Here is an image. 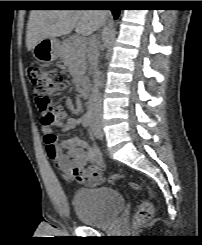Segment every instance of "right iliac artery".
<instances>
[{"mask_svg": "<svg viewBox=\"0 0 202 245\" xmlns=\"http://www.w3.org/2000/svg\"><path fill=\"white\" fill-rule=\"evenodd\" d=\"M92 112L91 110L89 109L81 118V121H82V124L83 126L87 127L90 125V123L92 122Z\"/></svg>", "mask_w": 202, "mask_h": 245, "instance_id": "obj_1", "label": "right iliac artery"}]
</instances>
